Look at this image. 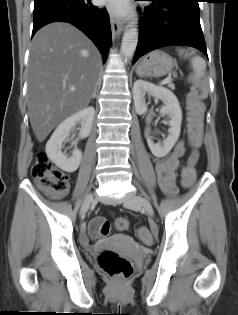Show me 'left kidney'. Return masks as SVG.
Here are the masks:
<instances>
[{"label":"left kidney","instance_id":"left-kidney-1","mask_svg":"<svg viewBox=\"0 0 238 315\" xmlns=\"http://www.w3.org/2000/svg\"><path fill=\"white\" fill-rule=\"evenodd\" d=\"M146 94L154 97L157 100H162L164 106L161 108V113L168 115L170 118L169 135L165 140H163V143L155 144L149 137V129L147 128L145 131L147 143L152 154L161 158L166 156L171 151L180 136L182 110L177 97L172 91L165 87L156 86L147 81L137 80L133 85V100L136 113L139 115H143L147 112L148 107L145 102ZM150 121L151 117L149 116L147 117L146 122L149 124Z\"/></svg>","mask_w":238,"mask_h":315}]
</instances>
